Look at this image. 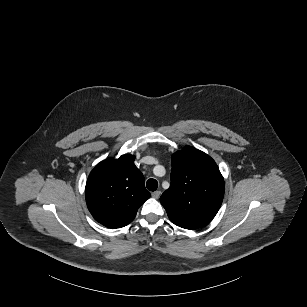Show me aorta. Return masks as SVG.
Listing matches in <instances>:
<instances>
[{
  "instance_id": "aorta-1",
  "label": "aorta",
  "mask_w": 307,
  "mask_h": 307,
  "mask_svg": "<svg viewBox=\"0 0 307 307\" xmlns=\"http://www.w3.org/2000/svg\"><path fill=\"white\" fill-rule=\"evenodd\" d=\"M157 171L162 173V172H165V167L160 165L158 168H157Z\"/></svg>"
}]
</instances>
